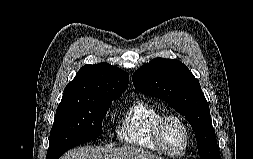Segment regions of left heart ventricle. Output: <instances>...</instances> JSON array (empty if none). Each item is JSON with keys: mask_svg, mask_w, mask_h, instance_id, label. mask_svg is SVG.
<instances>
[{"mask_svg": "<svg viewBox=\"0 0 253 159\" xmlns=\"http://www.w3.org/2000/svg\"><path fill=\"white\" fill-rule=\"evenodd\" d=\"M163 142L171 152H180L184 145V132L175 120L166 122L163 128Z\"/></svg>", "mask_w": 253, "mask_h": 159, "instance_id": "left-heart-ventricle-1", "label": "left heart ventricle"}]
</instances>
